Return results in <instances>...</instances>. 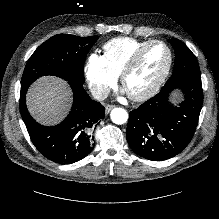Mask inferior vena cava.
Instances as JSON below:
<instances>
[{
	"instance_id": "obj_1",
	"label": "inferior vena cava",
	"mask_w": 219,
	"mask_h": 219,
	"mask_svg": "<svg viewBox=\"0 0 219 219\" xmlns=\"http://www.w3.org/2000/svg\"><path fill=\"white\" fill-rule=\"evenodd\" d=\"M90 92L93 98L97 101L105 100L109 94V90L102 86H92Z\"/></svg>"
}]
</instances>
